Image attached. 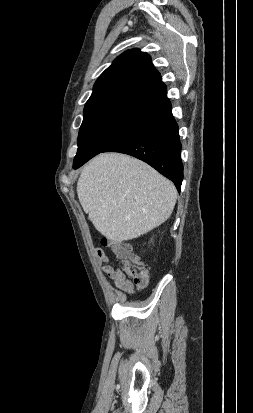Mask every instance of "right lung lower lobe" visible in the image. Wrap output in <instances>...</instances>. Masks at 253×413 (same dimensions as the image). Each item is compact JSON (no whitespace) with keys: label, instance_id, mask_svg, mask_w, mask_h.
Wrapping results in <instances>:
<instances>
[{"label":"right lung lower lobe","instance_id":"obj_1","mask_svg":"<svg viewBox=\"0 0 253 413\" xmlns=\"http://www.w3.org/2000/svg\"><path fill=\"white\" fill-rule=\"evenodd\" d=\"M171 110L170 104L155 112L137 129L103 152L125 153L148 163L170 179L180 192L183 180L182 146Z\"/></svg>","mask_w":253,"mask_h":413}]
</instances>
